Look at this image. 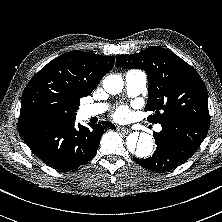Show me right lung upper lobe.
Wrapping results in <instances>:
<instances>
[{
  "label": "right lung upper lobe",
  "instance_id": "obj_1",
  "mask_svg": "<svg viewBox=\"0 0 222 222\" xmlns=\"http://www.w3.org/2000/svg\"><path fill=\"white\" fill-rule=\"evenodd\" d=\"M113 64V56L79 50L53 59L27 84L18 127L41 121H74L80 98L96 88Z\"/></svg>",
  "mask_w": 222,
  "mask_h": 222
}]
</instances>
